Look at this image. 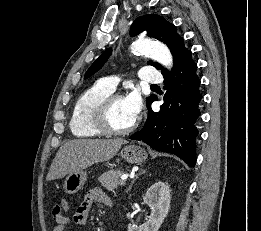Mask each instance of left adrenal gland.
Instances as JSON below:
<instances>
[{
    "label": "left adrenal gland",
    "instance_id": "obj_1",
    "mask_svg": "<svg viewBox=\"0 0 261 231\" xmlns=\"http://www.w3.org/2000/svg\"><path fill=\"white\" fill-rule=\"evenodd\" d=\"M145 172H146V170L140 169L139 173H138V174L136 175V177L132 180V182H131L129 188L126 190V193H128V192L132 189V186H133L134 182L138 179V177H139L140 175H142V174H145Z\"/></svg>",
    "mask_w": 261,
    "mask_h": 231
}]
</instances>
